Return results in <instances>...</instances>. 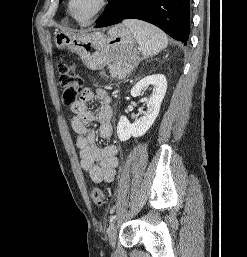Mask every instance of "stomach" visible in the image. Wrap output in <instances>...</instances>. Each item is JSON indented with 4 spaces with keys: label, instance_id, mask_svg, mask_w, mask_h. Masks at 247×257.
Returning <instances> with one entry per match:
<instances>
[{
    "label": "stomach",
    "instance_id": "stomach-1",
    "mask_svg": "<svg viewBox=\"0 0 247 257\" xmlns=\"http://www.w3.org/2000/svg\"><path fill=\"white\" fill-rule=\"evenodd\" d=\"M54 43L58 49L75 51L84 65L92 70L101 69L110 63H119L130 70L138 62L134 36L122 24L110 28L107 34L94 32L73 35L58 32L54 36Z\"/></svg>",
    "mask_w": 247,
    "mask_h": 257
}]
</instances>
